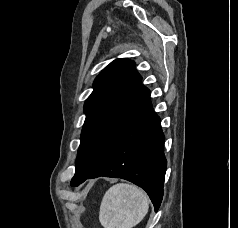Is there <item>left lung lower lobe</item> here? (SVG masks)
I'll return each instance as SVG.
<instances>
[{"mask_svg":"<svg viewBox=\"0 0 238 228\" xmlns=\"http://www.w3.org/2000/svg\"><path fill=\"white\" fill-rule=\"evenodd\" d=\"M166 165L160 119L153 111L147 90L103 160L89 174L74 176L71 186L100 176L126 179L148 193L157 211L163 197Z\"/></svg>","mask_w":238,"mask_h":228,"instance_id":"left-lung-lower-lobe-1","label":"left lung lower lobe"}]
</instances>
